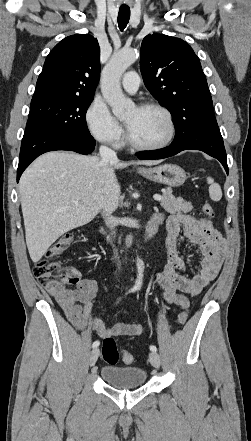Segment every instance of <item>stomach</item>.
<instances>
[{
    "mask_svg": "<svg viewBox=\"0 0 251 441\" xmlns=\"http://www.w3.org/2000/svg\"><path fill=\"white\" fill-rule=\"evenodd\" d=\"M138 173L146 179L171 187L181 186L187 179L184 169L175 164H164L153 168H140Z\"/></svg>",
    "mask_w": 251,
    "mask_h": 441,
    "instance_id": "obj_1",
    "label": "stomach"
}]
</instances>
